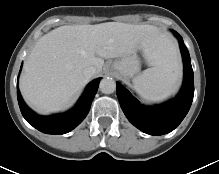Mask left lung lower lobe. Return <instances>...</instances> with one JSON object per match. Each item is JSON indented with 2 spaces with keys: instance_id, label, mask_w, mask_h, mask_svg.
Masks as SVG:
<instances>
[{
  "instance_id": "1",
  "label": "left lung lower lobe",
  "mask_w": 219,
  "mask_h": 174,
  "mask_svg": "<svg viewBox=\"0 0 219 174\" xmlns=\"http://www.w3.org/2000/svg\"><path fill=\"white\" fill-rule=\"evenodd\" d=\"M173 32L179 40L184 62L183 86L173 100L153 107L145 106L120 82L116 83L117 97L124 114L134 126L150 135H163L174 130L188 113L193 100L194 77L190 55L182 37Z\"/></svg>"
}]
</instances>
